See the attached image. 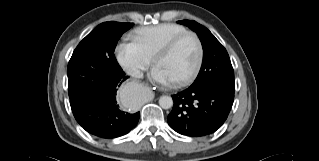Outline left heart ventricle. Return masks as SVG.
<instances>
[{"label": "left heart ventricle", "instance_id": "1", "mask_svg": "<svg viewBox=\"0 0 319 161\" xmlns=\"http://www.w3.org/2000/svg\"><path fill=\"white\" fill-rule=\"evenodd\" d=\"M197 59V46L192 37H186L165 58L159 60L156 67L160 68L170 81L187 74Z\"/></svg>", "mask_w": 319, "mask_h": 161}]
</instances>
